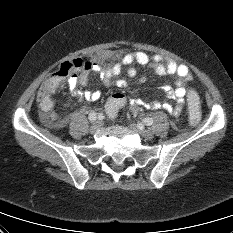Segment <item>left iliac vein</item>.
<instances>
[{"label":"left iliac vein","instance_id":"1","mask_svg":"<svg viewBox=\"0 0 233 233\" xmlns=\"http://www.w3.org/2000/svg\"><path fill=\"white\" fill-rule=\"evenodd\" d=\"M130 128L132 130L138 131L141 134V136L147 140H151L154 137L153 133L150 130H146L142 124H130Z\"/></svg>","mask_w":233,"mask_h":233}]
</instances>
